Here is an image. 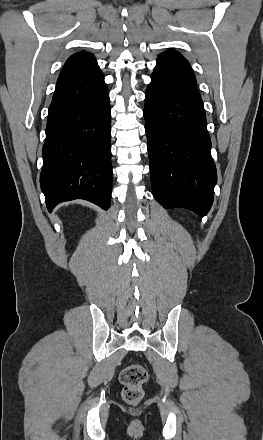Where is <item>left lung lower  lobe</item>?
<instances>
[{
	"label": "left lung lower lobe",
	"instance_id": "left-lung-lower-lobe-1",
	"mask_svg": "<svg viewBox=\"0 0 263 440\" xmlns=\"http://www.w3.org/2000/svg\"><path fill=\"white\" fill-rule=\"evenodd\" d=\"M144 117L155 199L166 209L184 207L203 217L213 203L217 172L195 75L174 50L157 58Z\"/></svg>",
	"mask_w": 263,
	"mask_h": 440
}]
</instances>
